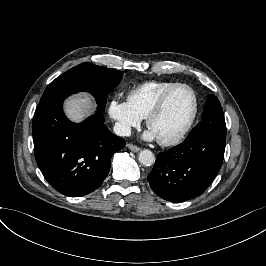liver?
<instances>
[{"mask_svg": "<svg viewBox=\"0 0 266 266\" xmlns=\"http://www.w3.org/2000/svg\"><path fill=\"white\" fill-rule=\"evenodd\" d=\"M94 103L88 96H77L68 101L67 112L73 120H78L93 109Z\"/></svg>", "mask_w": 266, "mask_h": 266, "instance_id": "liver-1", "label": "liver"}]
</instances>
